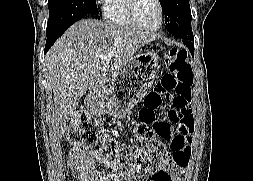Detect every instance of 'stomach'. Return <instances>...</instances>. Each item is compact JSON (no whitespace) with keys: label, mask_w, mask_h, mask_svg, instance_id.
I'll return each instance as SVG.
<instances>
[{"label":"stomach","mask_w":253,"mask_h":181,"mask_svg":"<svg viewBox=\"0 0 253 181\" xmlns=\"http://www.w3.org/2000/svg\"><path fill=\"white\" fill-rule=\"evenodd\" d=\"M159 61L155 50L132 57L109 86L89 92L85 98L88 110L95 115L109 114L118 119L126 116L153 85Z\"/></svg>","instance_id":"0dacf381"}]
</instances>
